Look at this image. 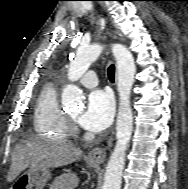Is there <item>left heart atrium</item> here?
Instances as JSON below:
<instances>
[{"instance_id": "obj_1", "label": "left heart atrium", "mask_w": 188, "mask_h": 189, "mask_svg": "<svg viewBox=\"0 0 188 189\" xmlns=\"http://www.w3.org/2000/svg\"><path fill=\"white\" fill-rule=\"evenodd\" d=\"M113 115L114 102L111 93L97 89L89 94L86 108L78 121L89 131L101 132L111 124Z\"/></svg>"}]
</instances>
